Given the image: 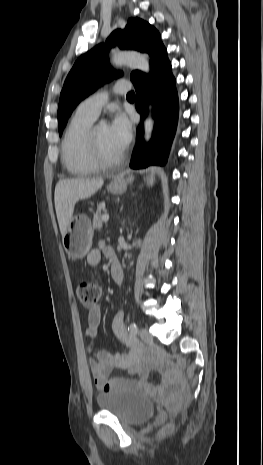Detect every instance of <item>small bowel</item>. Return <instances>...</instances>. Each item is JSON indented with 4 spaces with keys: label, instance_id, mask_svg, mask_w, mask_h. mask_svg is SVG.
<instances>
[{
    "label": "small bowel",
    "instance_id": "small-bowel-1",
    "mask_svg": "<svg viewBox=\"0 0 263 465\" xmlns=\"http://www.w3.org/2000/svg\"><path fill=\"white\" fill-rule=\"evenodd\" d=\"M103 252L107 255H111V251L107 248L91 250L87 255L88 264L91 266L98 265L101 261ZM101 321L102 310L100 306L96 305L88 312L85 337L88 341L87 349L90 354L89 367L98 390L104 392L116 388H127L158 396L166 385L176 379L171 371L165 370L161 383L153 384L148 380L151 364L142 357L141 349L135 340L128 337L124 327V313L122 310H119L114 315L111 327L116 338L126 344L129 350L127 352H118L115 354L106 350H95L93 340ZM114 369L128 370L131 374L136 375L137 378L124 379L110 377Z\"/></svg>",
    "mask_w": 263,
    "mask_h": 465
}]
</instances>
